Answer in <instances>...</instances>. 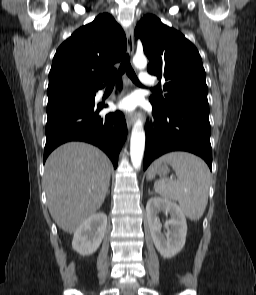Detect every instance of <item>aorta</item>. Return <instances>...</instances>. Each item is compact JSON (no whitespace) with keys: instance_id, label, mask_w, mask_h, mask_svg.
<instances>
[{"instance_id":"obj_1","label":"aorta","mask_w":256,"mask_h":295,"mask_svg":"<svg viewBox=\"0 0 256 295\" xmlns=\"http://www.w3.org/2000/svg\"><path fill=\"white\" fill-rule=\"evenodd\" d=\"M133 64L138 69H144L147 66V59L143 54H136L133 57ZM145 148V132L143 122L140 118L136 120L132 128L130 142V156L133 166L136 169L141 167Z\"/></svg>"}]
</instances>
